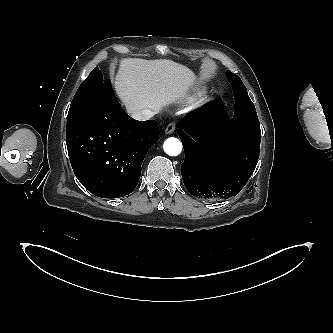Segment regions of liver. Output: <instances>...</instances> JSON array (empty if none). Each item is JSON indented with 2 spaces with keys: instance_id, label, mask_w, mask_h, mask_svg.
Here are the masks:
<instances>
[{
  "instance_id": "6515ba94",
  "label": "liver",
  "mask_w": 333,
  "mask_h": 333,
  "mask_svg": "<svg viewBox=\"0 0 333 333\" xmlns=\"http://www.w3.org/2000/svg\"><path fill=\"white\" fill-rule=\"evenodd\" d=\"M196 80L193 71L172 60L126 58L120 61L114 88L128 113H157L184 98Z\"/></svg>"
}]
</instances>
